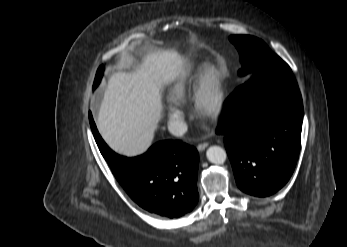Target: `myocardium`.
Masks as SVG:
<instances>
[{
    "mask_svg": "<svg viewBox=\"0 0 347 247\" xmlns=\"http://www.w3.org/2000/svg\"><path fill=\"white\" fill-rule=\"evenodd\" d=\"M225 93L218 71L209 67L203 71L193 93V106L203 119H216L224 106Z\"/></svg>",
    "mask_w": 347,
    "mask_h": 247,
    "instance_id": "myocardium-1",
    "label": "myocardium"
}]
</instances>
